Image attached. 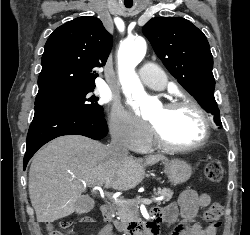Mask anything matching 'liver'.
<instances>
[{
  "mask_svg": "<svg viewBox=\"0 0 250 235\" xmlns=\"http://www.w3.org/2000/svg\"><path fill=\"white\" fill-rule=\"evenodd\" d=\"M164 159L113 156L108 146L81 135L56 138L35 154L29 170V196L37 221L50 223L71 215L77 202L86 198V186L133 189L144 179L146 166Z\"/></svg>",
  "mask_w": 250,
  "mask_h": 235,
  "instance_id": "6515ba94",
  "label": "liver"
}]
</instances>
